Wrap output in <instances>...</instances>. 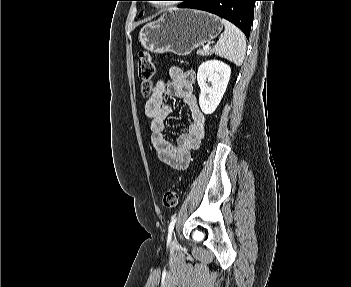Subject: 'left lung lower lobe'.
Here are the masks:
<instances>
[{
    "instance_id": "obj_1",
    "label": "left lung lower lobe",
    "mask_w": 351,
    "mask_h": 287,
    "mask_svg": "<svg viewBox=\"0 0 351 287\" xmlns=\"http://www.w3.org/2000/svg\"><path fill=\"white\" fill-rule=\"evenodd\" d=\"M179 8H192L218 15L238 26L249 38L257 0H181Z\"/></svg>"
}]
</instances>
